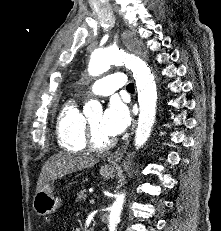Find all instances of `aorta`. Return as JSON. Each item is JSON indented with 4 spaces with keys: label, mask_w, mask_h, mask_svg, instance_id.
<instances>
[{
    "label": "aorta",
    "mask_w": 221,
    "mask_h": 231,
    "mask_svg": "<svg viewBox=\"0 0 221 231\" xmlns=\"http://www.w3.org/2000/svg\"><path fill=\"white\" fill-rule=\"evenodd\" d=\"M111 65H125L132 73L138 90L139 118L135 133L136 148L148 140L156 115L157 91L153 74L140 57L120 48H100L91 54L89 74L99 76L110 69ZM100 107L99 102L91 100L86 108ZM125 202V194L116 196L110 208L108 230L116 231Z\"/></svg>",
    "instance_id": "obj_1"
}]
</instances>
